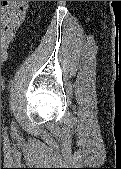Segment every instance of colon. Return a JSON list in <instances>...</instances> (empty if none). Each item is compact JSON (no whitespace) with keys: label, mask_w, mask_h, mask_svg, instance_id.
<instances>
[{"label":"colon","mask_w":121,"mask_h":169,"mask_svg":"<svg viewBox=\"0 0 121 169\" xmlns=\"http://www.w3.org/2000/svg\"><path fill=\"white\" fill-rule=\"evenodd\" d=\"M27 10L26 1H3L1 7V59L5 61Z\"/></svg>","instance_id":"5ec220e1"}]
</instances>
